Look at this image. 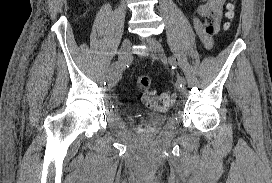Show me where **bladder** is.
Wrapping results in <instances>:
<instances>
[{
	"label": "bladder",
	"mask_w": 272,
	"mask_h": 183,
	"mask_svg": "<svg viewBox=\"0 0 272 183\" xmlns=\"http://www.w3.org/2000/svg\"><path fill=\"white\" fill-rule=\"evenodd\" d=\"M164 118H153L152 120H151V123L154 125V126H156V127H159V126H161V125H163L164 124Z\"/></svg>",
	"instance_id": "bladder-1"
}]
</instances>
